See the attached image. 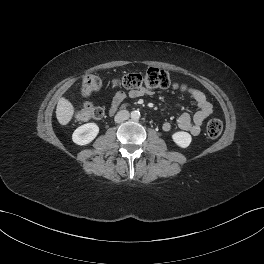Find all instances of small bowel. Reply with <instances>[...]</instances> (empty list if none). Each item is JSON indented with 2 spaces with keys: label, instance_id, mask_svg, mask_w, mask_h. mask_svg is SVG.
I'll use <instances>...</instances> for the list:
<instances>
[{
  "label": "small bowel",
  "instance_id": "small-bowel-1",
  "mask_svg": "<svg viewBox=\"0 0 264 264\" xmlns=\"http://www.w3.org/2000/svg\"><path fill=\"white\" fill-rule=\"evenodd\" d=\"M181 90L189 94L195 100L199 110L194 115H191L189 113H183L178 118L177 125L181 130L190 133L192 136H197L201 132L204 120L212 114L213 106L201 90L190 87L186 84H183L181 86ZM144 94H146V90L139 89L130 91L129 96L135 98L140 97ZM125 97L126 95L124 92H116L108 105L109 112L113 113L115 110H117V108L124 101ZM171 128L172 125L169 122H165L162 125V129L165 132H169Z\"/></svg>",
  "mask_w": 264,
  "mask_h": 264
}]
</instances>
